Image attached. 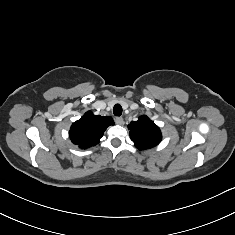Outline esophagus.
Wrapping results in <instances>:
<instances>
[{"label": "esophagus", "instance_id": "obj_1", "mask_svg": "<svg viewBox=\"0 0 235 235\" xmlns=\"http://www.w3.org/2000/svg\"><path fill=\"white\" fill-rule=\"evenodd\" d=\"M115 123L118 124V125H123L124 120H123L122 117H116L115 118Z\"/></svg>", "mask_w": 235, "mask_h": 235}]
</instances>
